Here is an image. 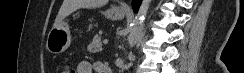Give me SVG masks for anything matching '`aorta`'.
I'll list each match as a JSON object with an SVG mask.
<instances>
[{
    "mask_svg": "<svg viewBox=\"0 0 244 73\" xmlns=\"http://www.w3.org/2000/svg\"><path fill=\"white\" fill-rule=\"evenodd\" d=\"M152 0H143L140 8L135 16L133 23L130 28L128 43L130 46L135 44V41L143 29L146 16L148 14Z\"/></svg>",
    "mask_w": 244,
    "mask_h": 73,
    "instance_id": "762f6f07",
    "label": "aorta"
}]
</instances>
